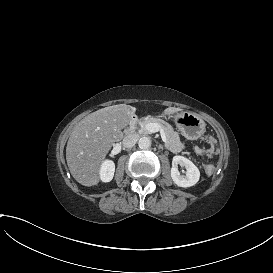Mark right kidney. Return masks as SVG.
Here are the masks:
<instances>
[{
  "mask_svg": "<svg viewBox=\"0 0 273 273\" xmlns=\"http://www.w3.org/2000/svg\"><path fill=\"white\" fill-rule=\"evenodd\" d=\"M115 166L113 162L107 161L101 170V179L105 182L112 180L114 176Z\"/></svg>",
  "mask_w": 273,
  "mask_h": 273,
  "instance_id": "right-kidney-1",
  "label": "right kidney"
}]
</instances>
